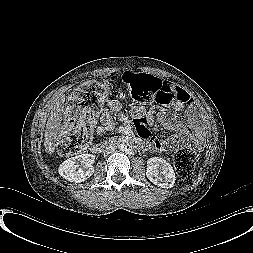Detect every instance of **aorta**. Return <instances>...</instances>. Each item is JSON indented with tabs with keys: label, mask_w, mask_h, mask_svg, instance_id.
Returning <instances> with one entry per match:
<instances>
[{
	"label": "aorta",
	"mask_w": 253,
	"mask_h": 253,
	"mask_svg": "<svg viewBox=\"0 0 253 253\" xmlns=\"http://www.w3.org/2000/svg\"><path fill=\"white\" fill-rule=\"evenodd\" d=\"M118 148H119L121 151H124V150L127 148V145H126L124 142H121V143L118 145Z\"/></svg>",
	"instance_id": "obj_1"
}]
</instances>
